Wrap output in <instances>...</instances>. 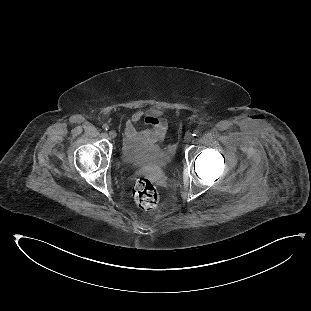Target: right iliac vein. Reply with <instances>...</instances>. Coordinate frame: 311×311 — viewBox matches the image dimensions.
I'll return each instance as SVG.
<instances>
[{
	"label": "right iliac vein",
	"mask_w": 311,
	"mask_h": 311,
	"mask_svg": "<svg viewBox=\"0 0 311 311\" xmlns=\"http://www.w3.org/2000/svg\"><path fill=\"white\" fill-rule=\"evenodd\" d=\"M108 135H109L110 138L114 139V138L116 137L117 134H116L115 131L110 130V131L108 132Z\"/></svg>",
	"instance_id": "1"
}]
</instances>
